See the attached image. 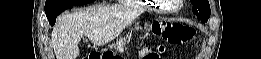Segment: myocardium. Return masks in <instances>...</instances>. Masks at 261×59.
Listing matches in <instances>:
<instances>
[{"label":"myocardium","mask_w":261,"mask_h":59,"mask_svg":"<svg viewBox=\"0 0 261 59\" xmlns=\"http://www.w3.org/2000/svg\"><path fill=\"white\" fill-rule=\"evenodd\" d=\"M159 5H161V3L163 2V3H165L164 1H156ZM179 2H182V1H179ZM164 10H167V11H169V12H172V11H174L175 9H170V8H163Z\"/></svg>","instance_id":"1"}]
</instances>
